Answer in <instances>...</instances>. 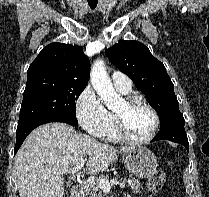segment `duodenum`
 <instances>
[{
    "label": "duodenum",
    "instance_id": "410a0bca",
    "mask_svg": "<svg viewBox=\"0 0 209 197\" xmlns=\"http://www.w3.org/2000/svg\"><path fill=\"white\" fill-rule=\"evenodd\" d=\"M83 195L84 189L81 186L76 185L72 188L70 197H82Z\"/></svg>",
    "mask_w": 209,
    "mask_h": 197
}]
</instances>
